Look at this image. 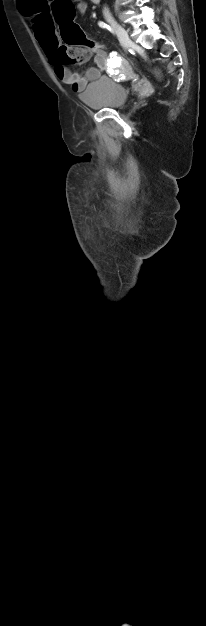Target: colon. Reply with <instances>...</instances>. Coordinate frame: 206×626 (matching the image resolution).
Returning a JSON list of instances; mask_svg holds the SVG:
<instances>
[{"mask_svg": "<svg viewBox=\"0 0 206 626\" xmlns=\"http://www.w3.org/2000/svg\"><path fill=\"white\" fill-rule=\"evenodd\" d=\"M52 7L65 44L58 51L59 61L64 64L85 62L103 49V45L87 38L74 22L73 0H52Z\"/></svg>", "mask_w": 206, "mask_h": 626, "instance_id": "1", "label": "colon"}]
</instances>
